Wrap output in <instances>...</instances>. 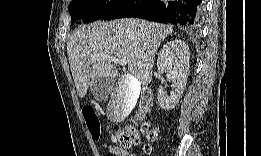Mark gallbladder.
<instances>
[{"label":"gallbladder","mask_w":261,"mask_h":156,"mask_svg":"<svg viewBox=\"0 0 261 156\" xmlns=\"http://www.w3.org/2000/svg\"><path fill=\"white\" fill-rule=\"evenodd\" d=\"M126 74V73H124ZM141 80H138L136 76L131 74L121 75V78L117 80L120 83L119 86L114 89L112 93V98L107 105L109 110L107 117L110 118L112 122H121L126 120L128 114L132 112L135 108V104L138 101L140 90H141Z\"/></svg>","instance_id":"gallbladder-1"}]
</instances>
